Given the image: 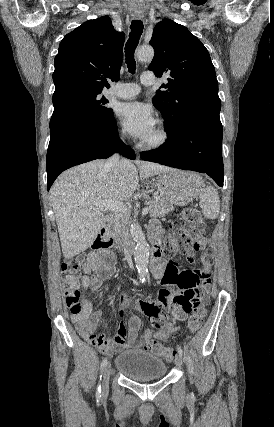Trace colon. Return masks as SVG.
Masks as SVG:
<instances>
[{"label":"colon","instance_id":"colon-1","mask_svg":"<svg viewBox=\"0 0 274 427\" xmlns=\"http://www.w3.org/2000/svg\"><path fill=\"white\" fill-rule=\"evenodd\" d=\"M183 226L173 225L171 235L165 240V253H174V248H188L193 246L201 236L205 233V224L201 218L200 212L195 207H187L183 211ZM83 258L81 255H75L67 258L61 267L64 274L65 286L64 296L65 305L73 315H79L82 312L83 306L81 302V293L78 287L79 270ZM207 317L206 309H196L191 317H188L189 328L188 335L194 338L203 329V318ZM184 345L190 344L189 338L183 339ZM143 349L154 352L159 359H170V347H162L161 341L147 340L143 342Z\"/></svg>","mask_w":274,"mask_h":427}]
</instances>
